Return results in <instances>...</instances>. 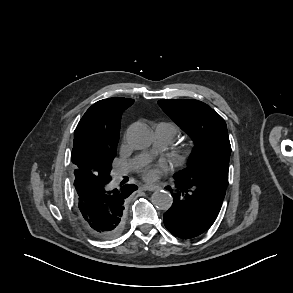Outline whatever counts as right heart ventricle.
Returning a JSON list of instances; mask_svg holds the SVG:
<instances>
[{
  "mask_svg": "<svg viewBox=\"0 0 293 293\" xmlns=\"http://www.w3.org/2000/svg\"><path fill=\"white\" fill-rule=\"evenodd\" d=\"M162 124H165V125L170 126V127L172 128L174 134H175V137L177 136V134H178V129H177V127H176L174 124H172V123H168V122H162Z\"/></svg>",
  "mask_w": 293,
  "mask_h": 293,
  "instance_id": "obj_1",
  "label": "right heart ventricle"
}]
</instances>
